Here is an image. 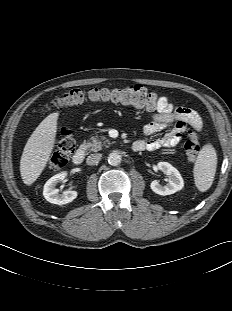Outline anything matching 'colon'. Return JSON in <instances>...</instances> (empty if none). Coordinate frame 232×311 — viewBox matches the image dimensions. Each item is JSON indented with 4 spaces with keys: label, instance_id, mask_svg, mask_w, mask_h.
I'll return each mask as SVG.
<instances>
[{
    "label": "colon",
    "instance_id": "1",
    "mask_svg": "<svg viewBox=\"0 0 232 311\" xmlns=\"http://www.w3.org/2000/svg\"><path fill=\"white\" fill-rule=\"evenodd\" d=\"M91 101H110L122 105L132 106L145 110H155L158 106L156 94L147 91L144 87L135 85L115 89L91 88L87 91L72 89L69 92L57 97L51 103L52 107L76 106ZM75 149L73 134L69 129H63L56 143L55 150L50 159L52 169H61L67 163L68 157ZM187 159L195 161L200 151L198 135L195 130L188 131L184 144Z\"/></svg>",
    "mask_w": 232,
    "mask_h": 311
}]
</instances>
